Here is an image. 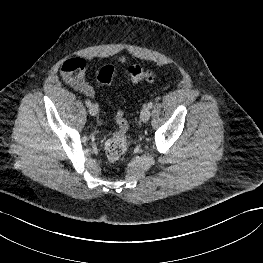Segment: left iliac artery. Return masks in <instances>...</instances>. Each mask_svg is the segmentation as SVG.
Segmentation results:
<instances>
[{"mask_svg":"<svg viewBox=\"0 0 263 263\" xmlns=\"http://www.w3.org/2000/svg\"><path fill=\"white\" fill-rule=\"evenodd\" d=\"M147 107L151 109L153 107V102H149Z\"/></svg>","mask_w":263,"mask_h":263,"instance_id":"1","label":"left iliac artery"}]
</instances>
